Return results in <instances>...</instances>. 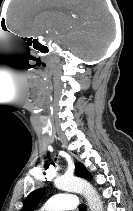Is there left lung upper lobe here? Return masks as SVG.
<instances>
[{"instance_id": "1", "label": "left lung upper lobe", "mask_w": 133, "mask_h": 211, "mask_svg": "<svg viewBox=\"0 0 133 211\" xmlns=\"http://www.w3.org/2000/svg\"><path fill=\"white\" fill-rule=\"evenodd\" d=\"M76 175L85 178L87 180H91L90 173L86 170L85 166L82 163H76ZM45 193L44 188L37 189L29 194L27 197L22 211H33L34 208L37 206L41 198Z\"/></svg>"}]
</instances>
